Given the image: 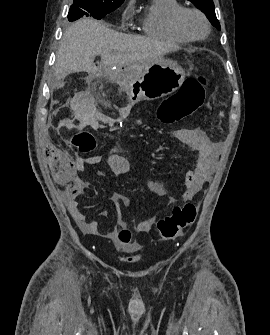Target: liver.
Segmentation results:
<instances>
[{
	"instance_id": "obj_1",
	"label": "liver",
	"mask_w": 270,
	"mask_h": 335,
	"mask_svg": "<svg viewBox=\"0 0 270 335\" xmlns=\"http://www.w3.org/2000/svg\"><path fill=\"white\" fill-rule=\"evenodd\" d=\"M168 46L145 38L109 30L101 22L86 18L67 28L57 52L55 72L65 78L71 72H110L113 66L128 70V78L137 80L150 60L161 58ZM101 56L102 66L93 64Z\"/></svg>"
}]
</instances>
